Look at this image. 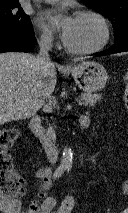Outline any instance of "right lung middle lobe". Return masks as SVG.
Wrapping results in <instances>:
<instances>
[{"label": "right lung middle lobe", "instance_id": "dd1d6c3e", "mask_svg": "<svg viewBox=\"0 0 128 213\" xmlns=\"http://www.w3.org/2000/svg\"><path fill=\"white\" fill-rule=\"evenodd\" d=\"M32 23L20 4L0 6V32L28 31Z\"/></svg>", "mask_w": 128, "mask_h": 213}]
</instances>
